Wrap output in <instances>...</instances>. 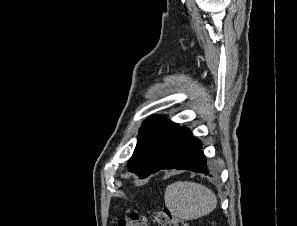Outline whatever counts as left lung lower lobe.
Instances as JSON below:
<instances>
[{"label": "left lung lower lobe", "instance_id": "obj_1", "mask_svg": "<svg viewBox=\"0 0 297 226\" xmlns=\"http://www.w3.org/2000/svg\"><path fill=\"white\" fill-rule=\"evenodd\" d=\"M201 147L200 140L193 137L188 128L181 127L161 159L146 176L161 169H184L212 176Z\"/></svg>", "mask_w": 297, "mask_h": 226}]
</instances>
